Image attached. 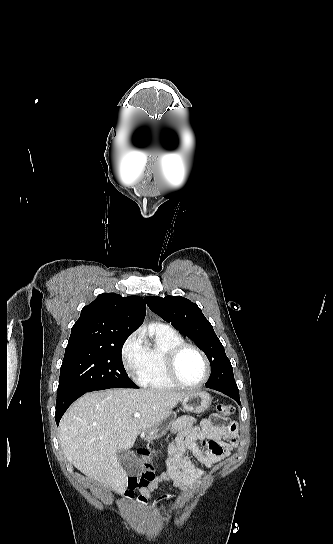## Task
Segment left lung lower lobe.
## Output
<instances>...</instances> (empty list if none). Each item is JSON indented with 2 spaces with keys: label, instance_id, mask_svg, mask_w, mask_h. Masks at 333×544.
<instances>
[{
  "label": "left lung lower lobe",
  "instance_id": "0a47b994",
  "mask_svg": "<svg viewBox=\"0 0 333 544\" xmlns=\"http://www.w3.org/2000/svg\"><path fill=\"white\" fill-rule=\"evenodd\" d=\"M219 392H222L229 397L233 398L238 404H240L239 391L238 390H227V389H214Z\"/></svg>",
  "mask_w": 333,
  "mask_h": 544
}]
</instances>
